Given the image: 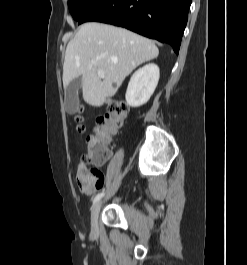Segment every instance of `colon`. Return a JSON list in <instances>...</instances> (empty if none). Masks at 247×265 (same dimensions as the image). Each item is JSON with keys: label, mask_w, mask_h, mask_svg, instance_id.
<instances>
[{"label": "colon", "mask_w": 247, "mask_h": 265, "mask_svg": "<svg viewBox=\"0 0 247 265\" xmlns=\"http://www.w3.org/2000/svg\"><path fill=\"white\" fill-rule=\"evenodd\" d=\"M129 108L121 101H110L108 112L99 117L93 131L86 137L87 150L82 158V164L86 172L92 176H100V167L110 158L109 144L120 133L125 125ZM77 129L85 131L83 119L80 114L76 117Z\"/></svg>", "instance_id": "5ec220e1"}]
</instances>
